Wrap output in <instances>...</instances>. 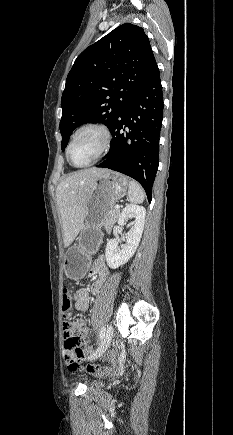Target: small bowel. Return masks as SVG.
I'll use <instances>...</instances> for the list:
<instances>
[{
  "label": "small bowel",
  "mask_w": 233,
  "mask_h": 435,
  "mask_svg": "<svg viewBox=\"0 0 233 435\" xmlns=\"http://www.w3.org/2000/svg\"><path fill=\"white\" fill-rule=\"evenodd\" d=\"M89 277L92 279V283L90 287H84L77 289L72 299L74 301V305L76 310L85 311L89 307L91 301V294H97L106 283L108 278V270L106 267L105 259L102 255H100L93 263ZM66 325H73L79 328L81 335L84 339H87L90 334V329L86 326L85 320L82 318H73L71 321H64L63 327ZM83 353L88 351L87 347L82 349Z\"/></svg>",
  "instance_id": "small-bowel-1"
}]
</instances>
